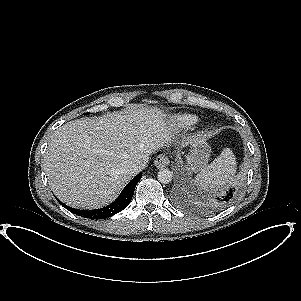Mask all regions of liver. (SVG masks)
Returning a JSON list of instances; mask_svg holds the SVG:
<instances>
[{"mask_svg":"<svg viewBox=\"0 0 301 301\" xmlns=\"http://www.w3.org/2000/svg\"><path fill=\"white\" fill-rule=\"evenodd\" d=\"M171 141L155 110L82 118L57 129L45 153V172L54 194L67 205L97 209L120 194L135 173L131 166Z\"/></svg>","mask_w":301,"mask_h":301,"instance_id":"obj_1","label":"liver"}]
</instances>
